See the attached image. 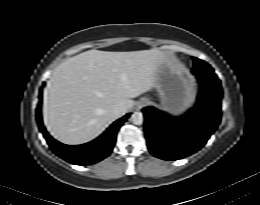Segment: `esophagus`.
Returning <instances> with one entry per match:
<instances>
[{
    "label": "esophagus",
    "instance_id": "34e87169",
    "mask_svg": "<svg viewBox=\"0 0 260 205\" xmlns=\"http://www.w3.org/2000/svg\"><path fill=\"white\" fill-rule=\"evenodd\" d=\"M148 103L147 100H142L139 104H138V108L140 109L141 107H143L144 105H146Z\"/></svg>",
    "mask_w": 260,
    "mask_h": 205
}]
</instances>
